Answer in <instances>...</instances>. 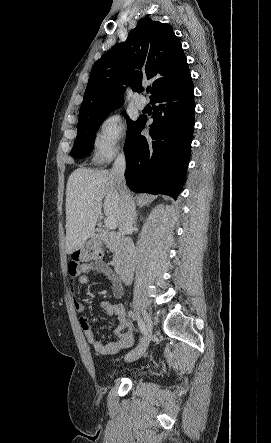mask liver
<instances>
[{
    "label": "liver",
    "instance_id": "6515ba94",
    "mask_svg": "<svg viewBox=\"0 0 271 443\" xmlns=\"http://www.w3.org/2000/svg\"><path fill=\"white\" fill-rule=\"evenodd\" d=\"M102 208L119 227L122 204L109 170L79 166L70 174L66 186V253H72L91 237Z\"/></svg>",
    "mask_w": 271,
    "mask_h": 443
}]
</instances>
